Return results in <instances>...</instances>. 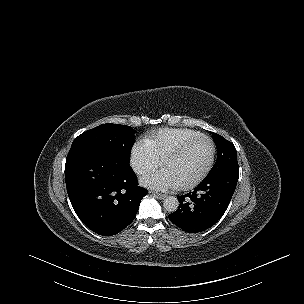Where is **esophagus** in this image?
Segmentation results:
<instances>
[{"mask_svg":"<svg viewBox=\"0 0 304 304\" xmlns=\"http://www.w3.org/2000/svg\"><path fill=\"white\" fill-rule=\"evenodd\" d=\"M150 193H152L153 195H155V196L158 197L159 199H164V198L167 197L166 194H161V193L154 192V191H151Z\"/></svg>","mask_w":304,"mask_h":304,"instance_id":"esophagus-1","label":"esophagus"}]
</instances>
